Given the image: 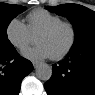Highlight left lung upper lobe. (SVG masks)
<instances>
[{"mask_svg": "<svg viewBox=\"0 0 95 95\" xmlns=\"http://www.w3.org/2000/svg\"><path fill=\"white\" fill-rule=\"evenodd\" d=\"M50 12L66 16L73 24L75 41L70 51H78L95 44V12L78 4L47 7Z\"/></svg>", "mask_w": 95, "mask_h": 95, "instance_id": "left-lung-upper-lobe-1", "label": "left lung upper lobe"}]
</instances>
